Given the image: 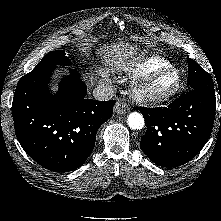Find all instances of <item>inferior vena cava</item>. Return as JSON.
Listing matches in <instances>:
<instances>
[{
  "instance_id": "1",
  "label": "inferior vena cava",
  "mask_w": 221,
  "mask_h": 221,
  "mask_svg": "<svg viewBox=\"0 0 221 221\" xmlns=\"http://www.w3.org/2000/svg\"><path fill=\"white\" fill-rule=\"evenodd\" d=\"M113 88L107 83H100L94 90L93 96L96 100L107 101L113 98Z\"/></svg>"
}]
</instances>
